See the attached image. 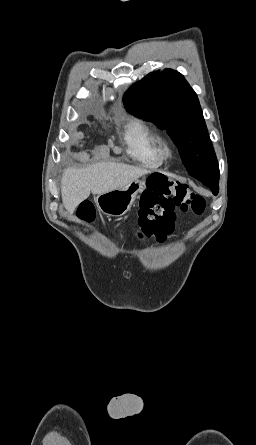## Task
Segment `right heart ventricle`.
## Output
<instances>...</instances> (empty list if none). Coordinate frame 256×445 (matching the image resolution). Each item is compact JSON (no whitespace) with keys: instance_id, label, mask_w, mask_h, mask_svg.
I'll return each instance as SVG.
<instances>
[{"instance_id":"e07e8e85","label":"right heart ventricle","mask_w":256,"mask_h":445,"mask_svg":"<svg viewBox=\"0 0 256 445\" xmlns=\"http://www.w3.org/2000/svg\"><path fill=\"white\" fill-rule=\"evenodd\" d=\"M124 141L127 153L135 160L150 167L162 164L161 140L143 120L135 119L127 124Z\"/></svg>"}]
</instances>
